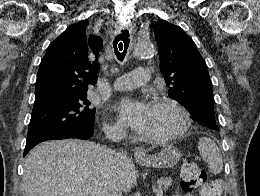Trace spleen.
Listing matches in <instances>:
<instances>
[{"mask_svg": "<svg viewBox=\"0 0 260 196\" xmlns=\"http://www.w3.org/2000/svg\"><path fill=\"white\" fill-rule=\"evenodd\" d=\"M199 154L207 162L211 174H221L223 170L222 154L215 142L211 138H200L198 142Z\"/></svg>", "mask_w": 260, "mask_h": 196, "instance_id": "spleen-1", "label": "spleen"}]
</instances>
